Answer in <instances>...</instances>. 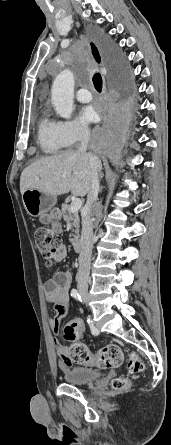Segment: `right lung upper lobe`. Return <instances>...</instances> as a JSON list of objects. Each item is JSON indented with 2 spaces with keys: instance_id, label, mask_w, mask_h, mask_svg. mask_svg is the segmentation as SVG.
<instances>
[{
  "instance_id": "cb5924a9",
  "label": "right lung upper lobe",
  "mask_w": 171,
  "mask_h": 445,
  "mask_svg": "<svg viewBox=\"0 0 171 445\" xmlns=\"http://www.w3.org/2000/svg\"><path fill=\"white\" fill-rule=\"evenodd\" d=\"M91 47H92V53H93L96 61L100 63V54H99L98 49L96 48V46L94 44H91ZM112 72H113V75L115 76L113 70H112Z\"/></svg>"
}]
</instances>
